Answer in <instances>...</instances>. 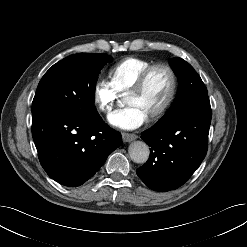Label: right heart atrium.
<instances>
[{
	"instance_id": "obj_1",
	"label": "right heart atrium",
	"mask_w": 247,
	"mask_h": 247,
	"mask_svg": "<svg viewBox=\"0 0 247 247\" xmlns=\"http://www.w3.org/2000/svg\"><path fill=\"white\" fill-rule=\"evenodd\" d=\"M118 93L110 83L104 80H97L93 85V102L98 111L104 115L112 112Z\"/></svg>"
}]
</instances>
